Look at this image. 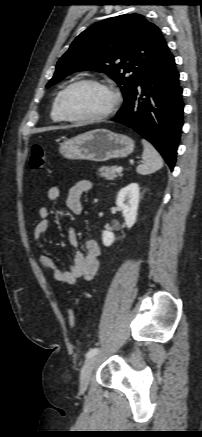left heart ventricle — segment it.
I'll list each match as a JSON object with an SVG mask.
<instances>
[{
    "instance_id": "1",
    "label": "left heart ventricle",
    "mask_w": 202,
    "mask_h": 437,
    "mask_svg": "<svg viewBox=\"0 0 202 437\" xmlns=\"http://www.w3.org/2000/svg\"><path fill=\"white\" fill-rule=\"evenodd\" d=\"M111 103V95L91 84L73 88L65 98V108L73 116L89 117L103 113Z\"/></svg>"
}]
</instances>
